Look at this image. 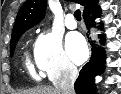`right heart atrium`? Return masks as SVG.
<instances>
[{
    "instance_id": "right-heart-atrium-1",
    "label": "right heart atrium",
    "mask_w": 121,
    "mask_h": 94,
    "mask_svg": "<svg viewBox=\"0 0 121 94\" xmlns=\"http://www.w3.org/2000/svg\"><path fill=\"white\" fill-rule=\"evenodd\" d=\"M33 53L38 70L51 80L70 78L77 72L63 49L60 36L52 31H43L38 35Z\"/></svg>"
}]
</instances>
